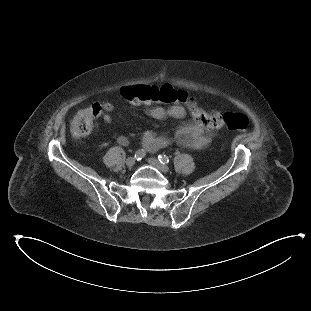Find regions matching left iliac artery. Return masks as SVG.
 Returning <instances> with one entry per match:
<instances>
[{"mask_svg": "<svg viewBox=\"0 0 311 311\" xmlns=\"http://www.w3.org/2000/svg\"><path fill=\"white\" fill-rule=\"evenodd\" d=\"M158 159H159L160 163H162V164H168L170 161L169 157L164 155V154L159 155Z\"/></svg>", "mask_w": 311, "mask_h": 311, "instance_id": "left-iliac-artery-1", "label": "left iliac artery"}]
</instances>
